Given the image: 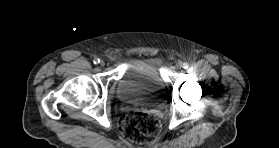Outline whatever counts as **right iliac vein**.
Returning a JSON list of instances; mask_svg holds the SVG:
<instances>
[{
    "label": "right iliac vein",
    "mask_w": 279,
    "mask_h": 148,
    "mask_svg": "<svg viewBox=\"0 0 279 148\" xmlns=\"http://www.w3.org/2000/svg\"><path fill=\"white\" fill-rule=\"evenodd\" d=\"M100 65L103 67V66H105V62L104 61H101L100 62Z\"/></svg>",
    "instance_id": "right-iliac-vein-1"
}]
</instances>
